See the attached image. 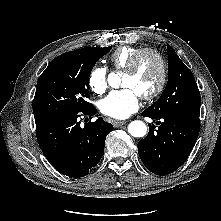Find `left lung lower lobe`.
Listing matches in <instances>:
<instances>
[{
    "mask_svg": "<svg viewBox=\"0 0 221 221\" xmlns=\"http://www.w3.org/2000/svg\"><path fill=\"white\" fill-rule=\"evenodd\" d=\"M142 116L157 121L159 128L149 125L148 135L138 143L139 156L148 170L167 175L177 170L192 151L200 130L198 117H154L145 110Z\"/></svg>",
    "mask_w": 221,
    "mask_h": 221,
    "instance_id": "1",
    "label": "left lung lower lobe"
}]
</instances>
